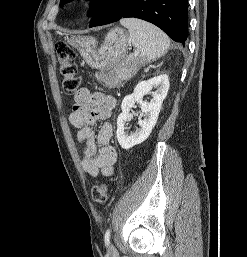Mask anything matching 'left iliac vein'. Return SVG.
Masks as SVG:
<instances>
[{
	"instance_id": "4c4485c4",
	"label": "left iliac vein",
	"mask_w": 247,
	"mask_h": 257,
	"mask_svg": "<svg viewBox=\"0 0 247 257\" xmlns=\"http://www.w3.org/2000/svg\"><path fill=\"white\" fill-rule=\"evenodd\" d=\"M109 254L112 256H115V254H117V251L113 245L109 247Z\"/></svg>"
}]
</instances>
